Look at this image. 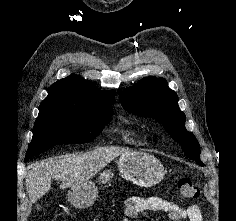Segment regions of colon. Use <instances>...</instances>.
Here are the masks:
<instances>
[{
	"mask_svg": "<svg viewBox=\"0 0 236 221\" xmlns=\"http://www.w3.org/2000/svg\"><path fill=\"white\" fill-rule=\"evenodd\" d=\"M180 197L183 200L196 199L199 196V190L188 178H182L177 184Z\"/></svg>",
	"mask_w": 236,
	"mask_h": 221,
	"instance_id": "colon-1",
	"label": "colon"
}]
</instances>
